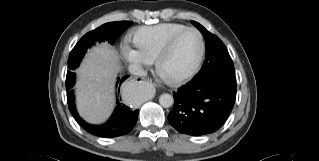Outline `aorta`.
Segmentation results:
<instances>
[{
	"label": "aorta",
	"instance_id": "obj_1",
	"mask_svg": "<svg viewBox=\"0 0 319 161\" xmlns=\"http://www.w3.org/2000/svg\"><path fill=\"white\" fill-rule=\"evenodd\" d=\"M145 89L149 90L150 87L148 85H146V86H143L142 89H140V90L144 91ZM159 103L162 107L169 108L173 105L174 99H173L172 95H170V94H162L159 98Z\"/></svg>",
	"mask_w": 319,
	"mask_h": 161
}]
</instances>
